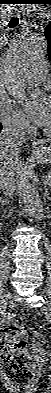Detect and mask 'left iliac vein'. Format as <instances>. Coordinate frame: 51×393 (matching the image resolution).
Segmentation results:
<instances>
[{
  "mask_svg": "<svg viewBox=\"0 0 51 393\" xmlns=\"http://www.w3.org/2000/svg\"><path fill=\"white\" fill-rule=\"evenodd\" d=\"M50 308H51V307H50V304H47V305L44 306V309L47 310V311H49Z\"/></svg>",
  "mask_w": 51,
  "mask_h": 393,
  "instance_id": "obj_1",
  "label": "left iliac vein"
}]
</instances>
